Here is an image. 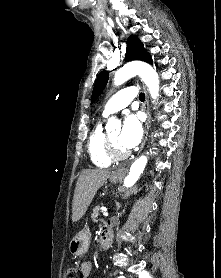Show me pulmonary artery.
<instances>
[{
    "label": "pulmonary artery",
    "mask_w": 221,
    "mask_h": 278,
    "mask_svg": "<svg viewBox=\"0 0 221 278\" xmlns=\"http://www.w3.org/2000/svg\"><path fill=\"white\" fill-rule=\"evenodd\" d=\"M136 95L137 91L134 87H127L120 90L106 103L103 110V116L107 117L128 106Z\"/></svg>",
    "instance_id": "1"
}]
</instances>
